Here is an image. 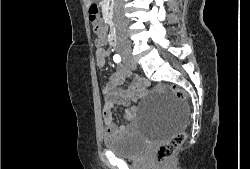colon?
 I'll return each mask as SVG.
<instances>
[{"instance_id": "colon-1", "label": "colon", "mask_w": 250, "mask_h": 169, "mask_svg": "<svg viewBox=\"0 0 250 169\" xmlns=\"http://www.w3.org/2000/svg\"><path fill=\"white\" fill-rule=\"evenodd\" d=\"M88 19L91 23L93 31L100 32L103 28L99 15V10L96 6H91L88 10ZM169 89L178 99L184 103L189 101L188 92H185L184 88H178L176 86H170ZM153 90H165V85H153ZM152 91L151 89L149 90ZM193 102H188L187 111H192ZM188 139V134L185 130L180 133L171 134L170 138H166L163 141V145H159V150H155V160H158V166L160 169H176V164L171 161L173 155H177V150H182L184 140Z\"/></svg>"}]
</instances>
